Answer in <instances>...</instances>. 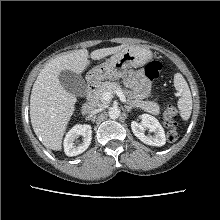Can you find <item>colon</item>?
<instances>
[{
    "mask_svg": "<svg viewBox=\"0 0 220 220\" xmlns=\"http://www.w3.org/2000/svg\"><path fill=\"white\" fill-rule=\"evenodd\" d=\"M161 70V65L157 61H151L145 68V75L149 80L157 79ZM177 109L169 106L164 111V125L167 128V139L169 142H175L178 133L176 130Z\"/></svg>",
    "mask_w": 220,
    "mask_h": 220,
    "instance_id": "obj_1",
    "label": "colon"
}]
</instances>
